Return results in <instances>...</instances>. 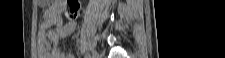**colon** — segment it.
Segmentation results:
<instances>
[{
    "label": "colon",
    "instance_id": "5ec220e1",
    "mask_svg": "<svg viewBox=\"0 0 225 58\" xmlns=\"http://www.w3.org/2000/svg\"><path fill=\"white\" fill-rule=\"evenodd\" d=\"M47 1H40L41 4H46ZM70 4H71V13L73 15H78L80 14V7H79V4L78 2H75V1H70Z\"/></svg>",
    "mask_w": 225,
    "mask_h": 58
}]
</instances>
